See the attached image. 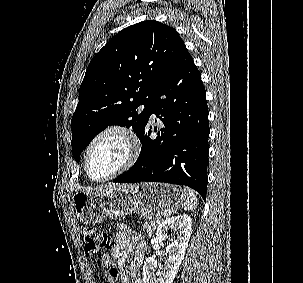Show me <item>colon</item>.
Instances as JSON below:
<instances>
[{
  "mask_svg": "<svg viewBox=\"0 0 303 283\" xmlns=\"http://www.w3.org/2000/svg\"><path fill=\"white\" fill-rule=\"evenodd\" d=\"M82 239L85 251L89 254H97L100 250L106 248L110 244L109 233L92 225L84 227L82 230ZM117 277V269L111 268L104 273L102 283H114Z\"/></svg>",
  "mask_w": 303,
  "mask_h": 283,
  "instance_id": "5ec220e1",
  "label": "colon"
}]
</instances>
